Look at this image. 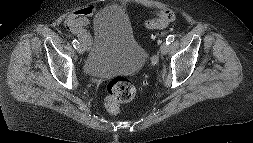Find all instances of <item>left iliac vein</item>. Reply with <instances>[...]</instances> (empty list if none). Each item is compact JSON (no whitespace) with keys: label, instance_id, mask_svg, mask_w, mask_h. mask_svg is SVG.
I'll use <instances>...</instances> for the list:
<instances>
[{"label":"left iliac vein","instance_id":"1","mask_svg":"<svg viewBox=\"0 0 253 143\" xmlns=\"http://www.w3.org/2000/svg\"><path fill=\"white\" fill-rule=\"evenodd\" d=\"M160 51L163 55L167 54L169 51V45L167 43H163L161 45Z\"/></svg>","mask_w":253,"mask_h":143}]
</instances>
